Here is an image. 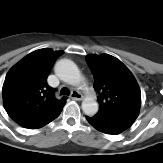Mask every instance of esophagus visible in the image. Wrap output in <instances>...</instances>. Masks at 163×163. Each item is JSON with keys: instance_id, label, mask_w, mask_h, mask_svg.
<instances>
[{"instance_id": "obj_1", "label": "esophagus", "mask_w": 163, "mask_h": 163, "mask_svg": "<svg viewBox=\"0 0 163 163\" xmlns=\"http://www.w3.org/2000/svg\"><path fill=\"white\" fill-rule=\"evenodd\" d=\"M70 98L73 100L80 101L83 99V95L79 91L75 90L71 92Z\"/></svg>"}]
</instances>
